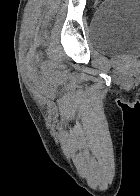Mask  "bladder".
<instances>
[{
    "label": "bladder",
    "instance_id": "obj_1",
    "mask_svg": "<svg viewBox=\"0 0 140 196\" xmlns=\"http://www.w3.org/2000/svg\"><path fill=\"white\" fill-rule=\"evenodd\" d=\"M90 42L107 55L140 57V0H104L92 16Z\"/></svg>",
    "mask_w": 140,
    "mask_h": 196
}]
</instances>
